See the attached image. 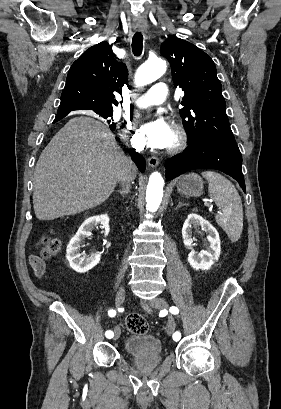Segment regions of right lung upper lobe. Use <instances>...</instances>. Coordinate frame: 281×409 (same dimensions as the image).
I'll return each mask as SVG.
<instances>
[{
  "label": "right lung upper lobe",
  "mask_w": 281,
  "mask_h": 409,
  "mask_svg": "<svg viewBox=\"0 0 281 409\" xmlns=\"http://www.w3.org/2000/svg\"><path fill=\"white\" fill-rule=\"evenodd\" d=\"M127 68L115 59L111 46L102 42L86 50L71 66L57 113L76 110L113 111V92L121 93Z\"/></svg>",
  "instance_id": "1"
}]
</instances>
